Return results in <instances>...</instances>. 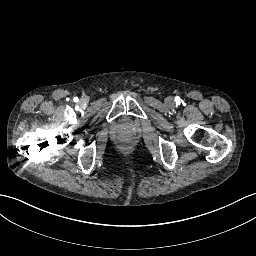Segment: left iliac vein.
<instances>
[{"mask_svg":"<svg viewBox=\"0 0 256 256\" xmlns=\"http://www.w3.org/2000/svg\"><path fill=\"white\" fill-rule=\"evenodd\" d=\"M166 103L167 105L172 106L174 104V101L172 98H167Z\"/></svg>","mask_w":256,"mask_h":256,"instance_id":"4c4485c4","label":"left iliac vein"}]
</instances>
